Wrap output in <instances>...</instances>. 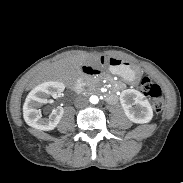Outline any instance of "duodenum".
<instances>
[{"label": "duodenum", "instance_id": "duodenum-1", "mask_svg": "<svg viewBox=\"0 0 183 183\" xmlns=\"http://www.w3.org/2000/svg\"><path fill=\"white\" fill-rule=\"evenodd\" d=\"M99 74H100V71L95 67H92V66L84 67L82 71V76H78L77 82L74 83V88L80 89L81 83L85 82V77H94V76H98Z\"/></svg>", "mask_w": 183, "mask_h": 183}]
</instances>
